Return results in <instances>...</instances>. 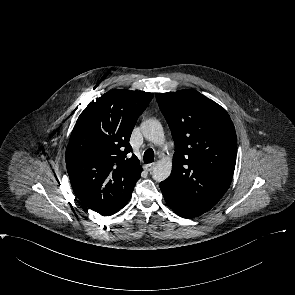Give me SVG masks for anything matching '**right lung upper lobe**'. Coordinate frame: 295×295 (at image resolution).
I'll list each match as a JSON object with an SVG mask.
<instances>
[{"mask_svg": "<svg viewBox=\"0 0 295 295\" xmlns=\"http://www.w3.org/2000/svg\"><path fill=\"white\" fill-rule=\"evenodd\" d=\"M153 98L144 91L112 90L80 114L66 149V166L77 198L101 215L126 205L142 167L129 157L131 132Z\"/></svg>", "mask_w": 295, "mask_h": 295, "instance_id": "right-lung-upper-lobe-1", "label": "right lung upper lobe"}]
</instances>
